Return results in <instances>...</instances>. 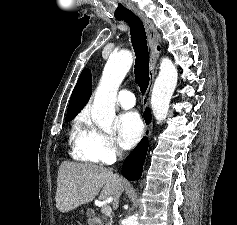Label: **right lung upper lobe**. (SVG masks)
Here are the masks:
<instances>
[{
	"label": "right lung upper lobe",
	"instance_id": "obj_1",
	"mask_svg": "<svg viewBox=\"0 0 237 225\" xmlns=\"http://www.w3.org/2000/svg\"><path fill=\"white\" fill-rule=\"evenodd\" d=\"M92 93V76L89 69H84L71 94L67 115L77 114L89 101Z\"/></svg>",
	"mask_w": 237,
	"mask_h": 225
}]
</instances>
